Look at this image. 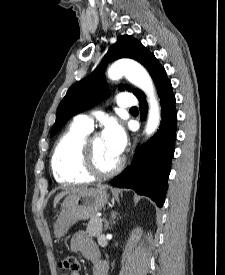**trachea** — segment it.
Here are the masks:
<instances>
[{"label": "trachea", "instance_id": "1", "mask_svg": "<svg viewBox=\"0 0 225 275\" xmlns=\"http://www.w3.org/2000/svg\"><path fill=\"white\" fill-rule=\"evenodd\" d=\"M131 109H132V110H136L137 108H136V107H132Z\"/></svg>", "mask_w": 225, "mask_h": 275}]
</instances>
